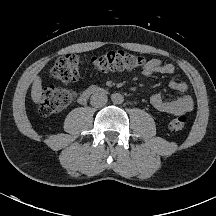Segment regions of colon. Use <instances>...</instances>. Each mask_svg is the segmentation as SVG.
Here are the masks:
<instances>
[{
  "label": "colon",
  "mask_w": 216,
  "mask_h": 216,
  "mask_svg": "<svg viewBox=\"0 0 216 216\" xmlns=\"http://www.w3.org/2000/svg\"><path fill=\"white\" fill-rule=\"evenodd\" d=\"M89 64L97 72L112 70H132L141 68L144 58L124 51H112L100 56H94L84 61L77 54H65L60 56L50 70V77L61 82H73L78 80L83 73L84 64ZM75 93L70 89L44 88L39 110L43 116L63 111L74 101ZM187 117L180 115L170 122V130L177 132L186 127Z\"/></svg>",
  "instance_id": "1"
}]
</instances>
